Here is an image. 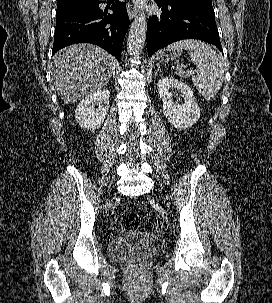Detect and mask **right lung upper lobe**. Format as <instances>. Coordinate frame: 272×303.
I'll use <instances>...</instances> for the list:
<instances>
[{
  "mask_svg": "<svg viewBox=\"0 0 272 303\" xmlns=\"http://www.w3.org/2000/svg\"><path fill=\"white\" fill-rule=\"evenodd\" d=\"M76 1H81V0H57V5L70 3V2H76Z\"/></svg>",
  "mask_w": 272,
  "mask_h": 303,
  "instance_id": "obj_1",
  "label": "right lung upper lobe"
}]
</instances>
